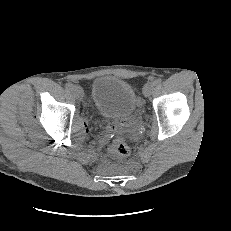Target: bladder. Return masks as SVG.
<instances>
[{"mask_svg":"<svg viewBox=\"0 0 231 231\" xmlns=\"http://www.w3.org/2000/svg\"><path fill=\"white\" fill-rule=\"evenodd\" d=\"M91 97L99 113L107 118L127 117L137 105L133 87L115 76L97 77L91 86Z\"/></svg>","mask_w":231,"mask_h":231,"instance_id":"bladder-1","label":"bladder"}]
</instances>
